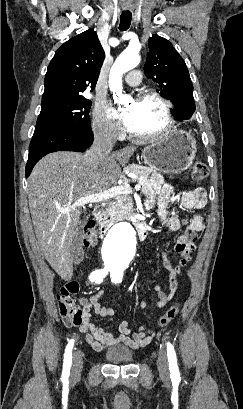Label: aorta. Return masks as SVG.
<instances>
[{
	"label": "aorta",
	"instance_id": "aorta-1",
	"mask_svg": "<svg viewBox=\"0 0 243 409\" xmlns=\"http://www.w3.org/2000/svg\"><path fill=\"white\" fill-rule=\"evenodd\" d=\"M140 62L137 52L126 50L115 60L109 74V88L115 102L124 104L128 97L122 88V75L135 68ZM136 242L134 226L129 222L114 225L105 235L102 251L109 263L125 258L132 253Z\"/></svg>",
	"mask_w": 243,
	"mask_h": 409
}]
</instances>
